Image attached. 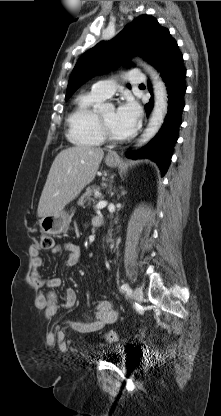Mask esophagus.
<instances>
[{
  "label": "esophagus",
  "instance_id": "1",
  "mask_svg": "<svg viewBox=\"0 0 221 416\" xmlns=\"http://www.w3.org/2000/svg\"><path fill=\"white\" fill-rule=\"evenodd\" d=\"M108 157H109V158H117V157H118V155H117L116 153H109V154H108Z\"/></svg>",
  "mask_w": 221,
  "mask_h": 416
}]
</instances>
